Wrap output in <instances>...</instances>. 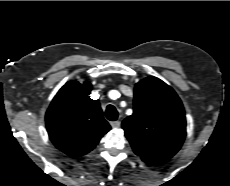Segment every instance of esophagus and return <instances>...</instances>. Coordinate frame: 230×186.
Returning <instances> with one entry per match:
<instances>
[{
    "mask_svg": "<svg viewBox=\"0 0 230 186\" xmlns=\"http://www.w3.org/2000/svg\"><path fill=\"white\" fill-rule=\"evenodd\" d=\"M110 124H111L112 128H119L121 125V122L120 121H113Z\"/></svg>",
    "mask_w": 230,
    "mask_h": 186,
    "instance_id": "obj_1",
    "label": "esophagus"
}]
</instances>
